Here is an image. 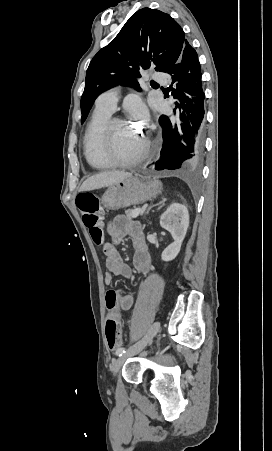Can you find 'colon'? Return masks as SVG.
<instances>
[{"mask_svg": "<svg viewBox=\"0 0 272 451\" xmlns=\"http://www.w3.org/2000/svg\"><path fill=\"white\" fill-rule=\"evenodd\" d=\"M75 203L80 209L83 223L90 228L91 238L99 243L103 239V233L99 227V221L102 218L101 201L98 196L91 192L80 194L76 197ZM106 344L109 350L120 347L119 324L113 317H107L104 325Z\"/></svg>", "mask_w": 272, "mask_h": 451, "instance_id": "5ec220e1", "label": "colon"}]
</instances>
